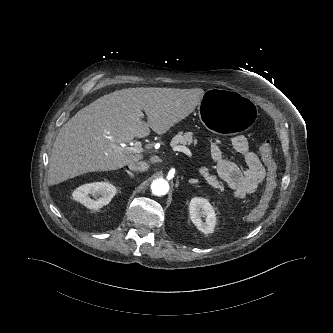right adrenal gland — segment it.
I'll list each match as a JSON object with an SVG mask.
<instances>
[{"mask_svg":"<svg viewBox=\"0 0 333 333\" xmlns=\"http://www.w3.org/2000/svg\"><path fill=\"white\" fill-rule=\"evenodd\" d=\"M125 172H127V174L130 175L131 177H134V174L131 171L125 170Z\"/></svg>","mask_w":333,"mask_h":333,"instance_id":"1","label":"right adrenal gland"}]
</instances>
